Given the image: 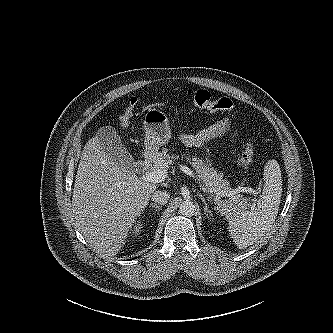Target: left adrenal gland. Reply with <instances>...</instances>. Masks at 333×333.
I'll use <instances>...</instances> for the list:
<instances>
[{
  "mask_svg": "<svg viewBox=\"0 0 333 333\" xmlns=\"http://www.w3.org/2000/svg\"><path fill=\"white\" fill-rule=\"evenodd\" d=\"M198 196L200 197L201 201L204 204V206H203L204 213L206 214V216L208 218H210L212 216V214H211V211L208 209V206H207V203H206V200H205L204 196L201 193H199Z\"/></svg>",
  "mask_w": 333,
  "mask_h": 333,
  "instance_id": "1",
  "label": "left adrenal gland"
}]
</instances>
